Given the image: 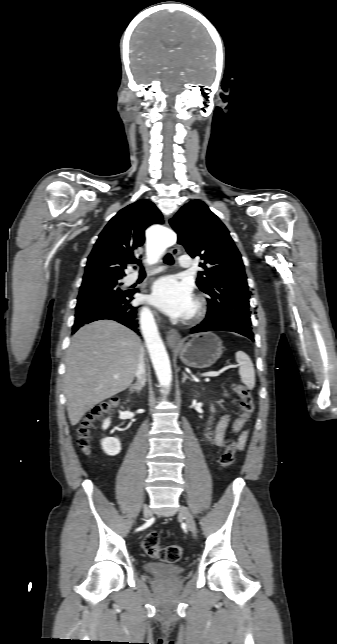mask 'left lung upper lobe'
<instances>
[{
	"label": "left lung upper lobe",
	"instance_id": "obj_1",
	"mask_svg": "<svg viewBox=\"0 0 337 644\" xmlns=\"http://www.w3.org/2000/svg\"><path fill=\"white\" fill-rule=\"evenodd\" d=\"M178 234V244L191 257H200L196 284L206 293L208 317H221L246 328L251 327L249 290L241 255L229 231L200 200L185 204L170 220Z\"/></svg>",
	"mask_w": 337,
	"mask_h": 644
}]
</instances>
